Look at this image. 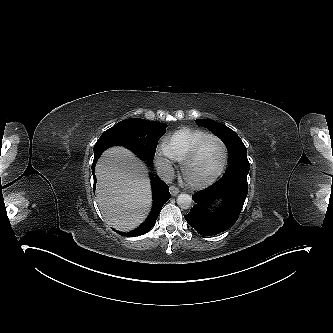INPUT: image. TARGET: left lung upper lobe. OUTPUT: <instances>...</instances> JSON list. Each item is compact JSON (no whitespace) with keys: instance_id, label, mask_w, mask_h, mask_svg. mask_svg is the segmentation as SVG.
Segmentation results:
<instances>
[{"instance_id":"1","label":"left lung upper lobe","mask_w":333,"mask_h":333,"mask_svg":"<svg viewBox=\"0 0 333 333\" xmlns=\"http://www.w3.org/2000/svg\"><path fill=\"white\" fill-rule=\"evenodd\" d=\"M196 123L210 129L223 141L228 149L229 167L222 178L226 181H231L232 179L247 180V174L249 172L247 149L239 136L226 125L213 120L198 119Z\"/></svg>"}]
</instances>
